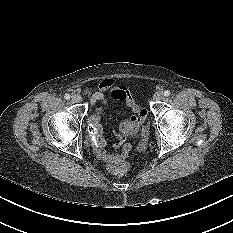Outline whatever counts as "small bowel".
Masks as SVG:
<instances>
[{"mask_svg": "<svg viewBox=\"0 0 233 233\" xmlns=\"http://www.w3.org/2000/svg\"><path fill=\"white\" fill-rule=\"evenodd\" d=\"M84 94L90 95V101L95 105V110L93 114L89 117V123H94L96 125V135L98 136L97 145V156L98 158L105 162L106 164L121 165L130 153L131 145L126 143V135L132 133L138 129L141 123L145 119L146 111L137 104L129 92L116 84V81L112 78L104 79L100 82L98 91L91 93L88 89L82 91ZM110 92L111 97L115 100H120L127 104L133 111L134 115L123 122L120 125L121 133L118 135L119 142L116 145L120 147V152L110 154L105 149L106 141L102 135L100 127V118L103 112V107L107 104L105 93Z\"/></svg>", "mask_w": 233, "mask_h": 233, "instance_id": "obj_1", "label": "small bowel"}]
</instances>
